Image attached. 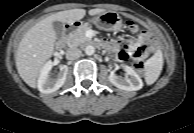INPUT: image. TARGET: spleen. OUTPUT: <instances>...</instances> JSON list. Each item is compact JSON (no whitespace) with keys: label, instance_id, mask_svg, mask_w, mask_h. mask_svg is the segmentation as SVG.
<instances>
[{"label":"spleen","instance_id":"3e777b00","mask_svg":"<svg viewBox=\"0 0 194 133\" xmlns=\"http://www.w3.org/2000/svg\"><path fill=\"white\" fill-rule=\"evenodd\" d=\"M163 68V54L160 50L149 58L145 63V82L152 85L160 76Z\"/></svg>","mask_w":194,"mask_h":133}]
</instances>
